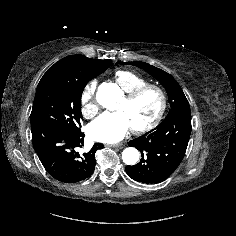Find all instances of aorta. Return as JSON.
<instances>
[{
  "mask_svg": "<svg viewBox=\"0 0 236 236\" xmlns=\"http://www.w3.org/2000/svg\"><path fill=\"white\" fill-rule=\"evenodd\" d=\"M96 97L100 105L109 110H114L115 103L122 97V91L117 85L111 84L105 88H100L97 92ZM139 157V151L133 147L126 148L122 152V160L127 165L136 164L139 160Z\"/></svg>",
  "mask_w": 236,
  "mask_h": 236,
  "instance_id": "1",
  "label": "aorta"
}]
</instances>
